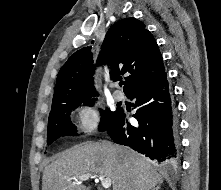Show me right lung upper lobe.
Listing matches in <instances>:
<instances>
[{"label": "right lung upper lobe", "mask_w": 221, "mask_h": 190, "mask_svg": "<svg viewBox=\"0 0 221 190\" xmlns=\"http://www.w3.org/2000/svg\"><path fill=\"white\" fill-rule=\"evenodd\" d=\"M98 64L107 63L113 81L126 74L123 88L127 95L164 72L158 45L145 25L135 18H125L112 25L101 47ZM93 56L90 47L76 51L62 66L56 81L52 105L93 100ZM93 98V99H92Z\"/></svg>", "instance_id": "right-lung-upper-lobe-1"}]
</instances>
